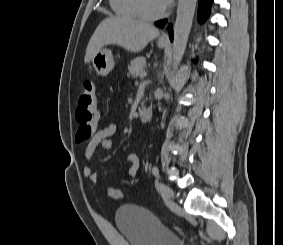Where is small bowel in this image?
Listing matches in <instances>:
<instances>
[{
	"mask_svg": "<svg viewBox=\"0 0 283 245\" xmlns=\"http://www.w3.org/2000/svg\"><path fill=\"white\" fill-rule=\"evenodd\" d=\"M117 130V123H111L105 128L99 130L84 148V158L87 161L92 160L97 147H101L105 150L111 149L113 145L112 137ZM124 163H129V167L124 170V173L129 175L130 177H135L138 174L140 168V157L135 153H130L124 158ZM83 175L95 185L99 184L100 182L98 174L92 170L90 165H86L83 168Z\"/></svg>",
	"mask_w": 283,
	"mask_h": 245,
	"instance_id": "small-bowel-1",
	"label": "small bowel"
}]
</instances>
